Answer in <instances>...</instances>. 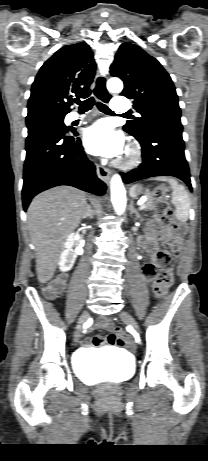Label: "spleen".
<instances>
[{
    "label": "spleen",
    "instance_id": "1",
    "mask_svg": "<svg viewBox=\"0 0 208 461\" xmlns=\"http://www.w3.org/2000/svg\"><path fill=\"white\" fill-rule=\"evenodd\" d=\"M155 180L167 181L170 183L172 192V204L175 206V216L181 222H186L189 218L190 212V198L187 190L183 185L178 184L174 178L169 177H157ZM132 197H135L134 187L130 190Z\"/></svg>",
    "mask_w": 208,
    "mask_h": 461
}]
</instances>
